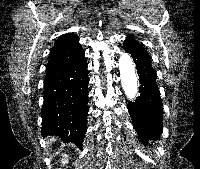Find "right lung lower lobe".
<instances>
[{
  "label": "right lung lower lobe",
  "mask_w": 200,
  "mask_h": 169,
  "mask_svg": "<svg viewBox=\"0 0 200 169\" xmlns=\"http://www.w3.org/2000/svg\"><path fill=\"white\" fill-rule=\"evenodd\" d=\"M88 73L84 51L69 63L46 69L42 135L81 146L88 113Z\"/></svg>",
  "instance_id": "1"
}]
</instances>
